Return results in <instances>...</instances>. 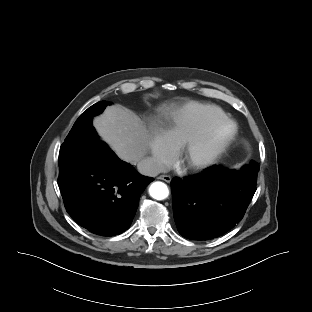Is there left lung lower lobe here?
<instances>
[{"mask_svg":"<svg viewBox=\"0 0 312 312\" xmlns=\"http://www.w3.org/2000/svg\"><path fill=\"white\" fill-rule=\"evenodd\" d=\"M251 178L236 170L211 166L200 174L171 181L174 220L191 240H209L233 228L244 216L256 191Z\"/></svg>","mask_w":312,"mask_h":312,"instance_id":"0a47b994","label":"left lung lower lobe"}]
</instances>
